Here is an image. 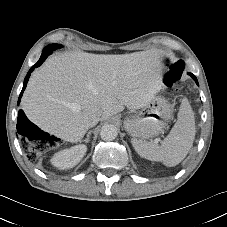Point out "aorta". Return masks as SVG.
Returning a JSON list of instances; mask_svg holds the SVG:
<instances>
[{"label": "aorta", "mask_w": 227, "mask_h": 227, "mask_svg": "<svg viewBox=\"0 0 227 227\" xmlns=\"http://www.w3.org/2000/svg\"><path fill=\"white\" fill-rule=\"evenodd\" d=\"M118 135L117 127L111 124H106L102 126L100 130V137L104 141H112Z\"/></svg>", "instance_id": "1"}]
</instances>
